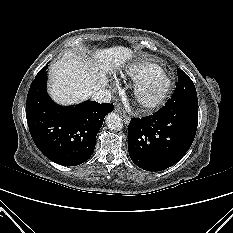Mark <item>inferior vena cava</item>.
<instances>
[{
	"instance_id": "1",
	"label": "inferior vena cava",
	"mask_w": 233,
	"mask_h": 233,
	"mask_svg": "<svg viewBox=\"0 0 233 233\" xmlns=\"http://www.w3.org/2000/svg\"><path fill=\"white\" fill-rule=\"evenodd\" d=\"M92 99L98 103H107L111 100V92L108 89H100L92 94Z\"/></svg>"
}]
</instances>
